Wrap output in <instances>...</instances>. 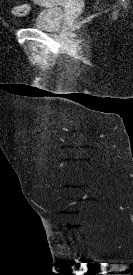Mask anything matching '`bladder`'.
Instances as JSON below:
<instances>
[{
	"label": "bladder",
	"mask_w": 133,
	"mask_h": 275,
	"mask_svg": "<svg viewBox=\"0 0 133 275\" xmlns=\"http://www.w3.org/2000/svg\"><path fill=\"white\" fill-rule=\"evenodd\" d=\"M64 21V13L59 6H48L38 11L33 19L32 27L48 32H55Z\"/></svg>",
	"instance_id": "31cf9c89"
}]
</instances>
